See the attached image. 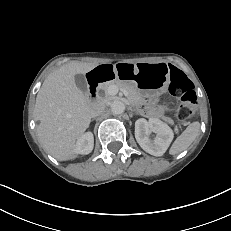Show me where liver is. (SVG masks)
Returning <instances> with one entry per match:
<instances>
[{
  "label": "liver",
  "instance_id": "6515ba94",
  "mask_svg": "<svg viewBox=\"0 0 231 231\" xmlns=\"http://www.w3.org/2000/svg\"><path fill=\"white\" fill-rule=\"evenodd\" d=\"M95 63L70 62L51 72L39 90L34 117L40 122L37 136L43 148L60 161L77 156L76 144L91 121V106L75 84Z\"/></svg>",
  "mask_w": 231,
  "mask_h": 231
}]
</instances>
